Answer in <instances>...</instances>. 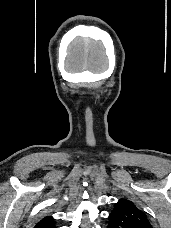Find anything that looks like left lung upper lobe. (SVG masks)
<instances>
[{
  "label": "left lung upper lobe",
  "mask_w": 171,
  "mask_h": 228,
  "mask_svg": "<svg viewBox=\"0 0 171 228\" xmlns=\"http://www.w3.org/2000/svg\"><path fill=\"white\" fill-rule=\"evenodd\" d=\"M109 222L113 228H125L130 225L152 227L147 215L127 199H120L109 215Z\"/></svg>",
  "instance_id": "obj_1"
}]
</instances>
